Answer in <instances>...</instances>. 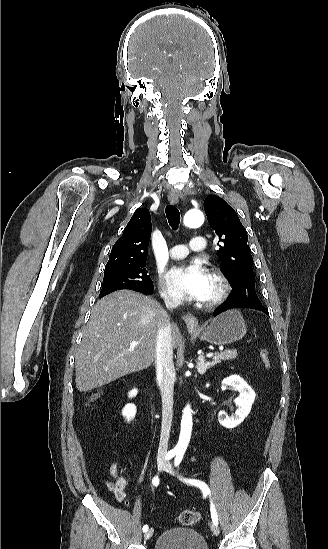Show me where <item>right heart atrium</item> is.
Masks as SVG:
<instances>
[{"mask_svg": "<svg viewBox=\"0 0 328 549\" xmlns=\"http://www.w3.org/2000/svg\"><path fill=\"white\" fill-rule=\"evenodd\" d=\"M160 294L166 303H181V300L167 286L163 275L160 276Z\"/></svg>", "mask_w": 328, "mask_h": 549, "instance_id": "d8ad5b80", "label": "right heart atrium"}]
</instances>
